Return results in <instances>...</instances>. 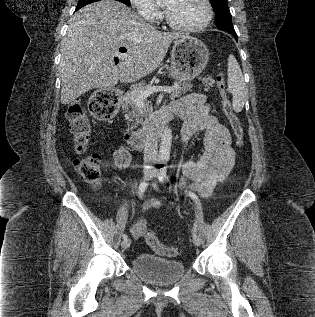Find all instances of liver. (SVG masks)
<instances>
[{"label": "liver", "instance_id": "1", "mask_svg": "<svg viewBox=\"0 0 315 317\" xmlns=\"http://www.w3.org/2000/svg\"><path fill=\"white\" fill-rule=\"evenodd\" d=\"M187 36L159 31L115 0L80 9L61 43V103L69 104L90 89L146 77L162 63L172 41ZM119 47L127 52L119 56ZM114 56L121 59L118 65Z\"/></svg>", "mask_w": 315, "mask_h": 317}]
</instances>
